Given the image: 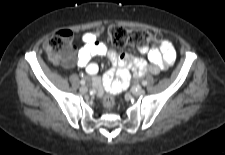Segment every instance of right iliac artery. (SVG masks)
Wrapping results in <instances>:
<instances>
[{
  "label": "right iliac artery",
  "mask_w": 225,
  "mask_h": 155,
  "mask_svg": "<svg viewBox=\"0 0 225 155\" xmlns=\"http://www.w3.org/2000/svg\"><path fill=\"white\" fill-rule=\"evenodd\" d=\"M80 84H81V85H85V80H81V81H80Z\"/></svg>",
  "instance_id": "82829eb1"
}]
</instances>
